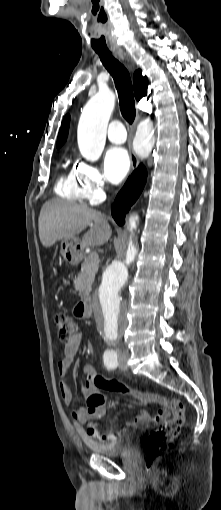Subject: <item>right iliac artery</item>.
<instances>
[{
    "instance_id": "right-iliac-artery-1",
    "label": "right iliac artery",
    "mask_w": 221,
    "mask_h": 510,
    "mask_svg": "<svg viewBox=\"0 0 221 510\" xmlns=\"http://www.w3.org/2000/svg\"><path fill=\"white\" fill-rule=\"evenodd\" d=\"M104 364L108 369H115L118 366L117 353L114 350L105 351Z\"/></svg>"
}]
</instances>
